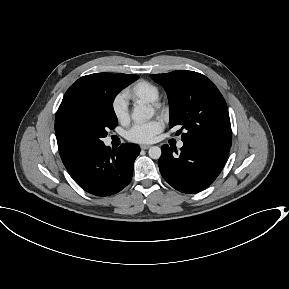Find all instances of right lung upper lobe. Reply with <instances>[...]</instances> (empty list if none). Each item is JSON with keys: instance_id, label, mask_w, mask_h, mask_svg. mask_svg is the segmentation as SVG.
I'll return each mask as SVG.
<instances>
[{"instance_id": "right-lung-upper-lobe-1", "label": "right lung upper lobe", "mask_w": 289, "mask_h": 289, "mask_svg": "<svg viewBox=\"0 0 289 289\" xmlns=\"http://www.w3.org/2000/svg\"><path fill=\"white\" fill-rule=\"evenodd\" d=\"M113 76L114 74L96 73L79 78L65 93L56 113L55 123L68 112L89 107L92 103V96ZM61 158L63 161L62 155ZM65 164L68 163L65 162Z\"/></svg>"}]
</instances>
